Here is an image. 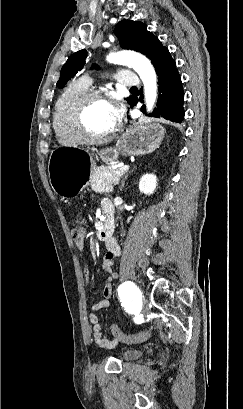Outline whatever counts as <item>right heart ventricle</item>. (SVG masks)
I'll return each mask as SVG.
<instances>
[{"instance_id":"obj_1","label":"right heart ventricle","mask_w":243,"mask_h":409,"mask_svg":"<svg viewBox=\"0 0 243 409\" xmlns=\"http://www.w3.org/2000/svg\"><path fill=\"white\" fill-rule=\"evenodd\" d=\"M89 85L78 79L70 82L63 88L55 100L52 113V126L60 144L65 146L76 145L80 139L75 135L67 120V110L71 100L79 93L87 90Z\"/></svg>"}]
</instances>
